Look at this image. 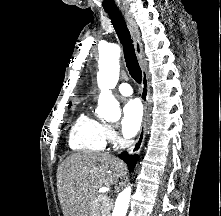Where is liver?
Returning a JSON list of instances; mask_svg holds the SVG:
<instances>
[{"instance_id": "obj_1", "label": "liver", "mask_w": 221, "mask_h": 216, "mask_svg": "<svg viewBox=\"0 0 221 216\" xmlns=\"http://www.w3.org/2000/svg\"><path fill=\"white\" fill-rule=\"evenodd\" d=\"M125 163L104 153H74L58 169V197L64 216H88L102 186L116 184Z\"/></svg>"}]
</instances>
